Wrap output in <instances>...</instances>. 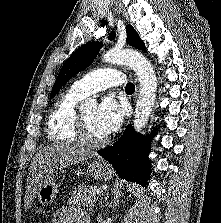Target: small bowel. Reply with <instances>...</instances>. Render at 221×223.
<instances>
[{
  "mask_svg": "<svg viewBox=\"0 0 221 223\" xmlns=\"http://www.w3.org/2000/svg\"><path fill=\"white\" fill-rule=\"evenodd\" d=\"M52 223H90L88 216L77 209L62 207L53 216Z\"/></svg>",
  "mask_w": 221,
  "mask_h": 223,
  "instance_id": "obj_1",
  "label": "small bowel"
}]
</instances>
